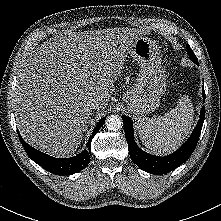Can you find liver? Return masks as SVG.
<instances>
[{"instance_id": "liver-1", "label": "liver", "mask_w": 221, "mask_h": 221, "mask_svg": "<svg viewBox=\"0 0 221 221\" xmlns=\"http://www.w3.org/2000/svg\"><path fill=\"white\" fill-rule=\"evenodd\" d=\"M135 29L113 28L55 36L26 59L15 88L17 127L33 147L69 157L91 119L90 101L106 108Z\"/></svg>"}]
</instances>
